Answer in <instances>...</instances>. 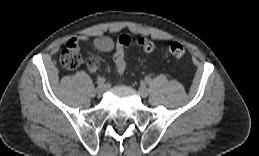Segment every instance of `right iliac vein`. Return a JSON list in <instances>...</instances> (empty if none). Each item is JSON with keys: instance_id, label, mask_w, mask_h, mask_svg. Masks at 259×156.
Instances as JSON below:
<instances>
[{"instance_id": "63e3f726", "label": "right iliac vein", "mask_w": 259, "mask_h": 156, "mask_svg": "<svg viewBox=\"0 0 259 156\" xmlns=\"http://www.w3.org/2000/svg\"><path fill=\"white\" fill-rule=\"evenodd\" d=\"M105 91V86L104 85H99L97 88H96V93L101 96Z\"/></svg>"}]
</instances>
